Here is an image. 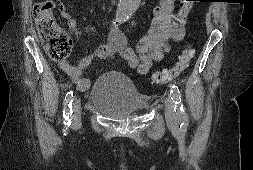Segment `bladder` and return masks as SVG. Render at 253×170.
<instances>
[{"label":"bladder","mask_w":253,"mask_h":170,"mask_svg":"<svg viewBox=\"0 0 253 170\" xmlns=\"http://www.w3.org/2000/svg\"><path fill=\"white\" fill-rule=\"evenodd\" d=\"M89 105L100 114L121 119L139 114L144 99L127 75L119 71H105L93 83Z\"/></svg>","instance_id":"31cf9c89"}]
</instances>
